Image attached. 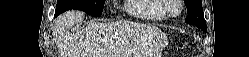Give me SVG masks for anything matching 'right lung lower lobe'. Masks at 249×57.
<instances>
[{
    "label": "right lung lower lobe",
    "mask_w": 249,
    "mask_h": 57,
    "mask_svg": "<svg viewBox=\"0 0 249 57\" xmlns=\"http://www.w3.org/2000/svg\"><path fill=\"white\" fill-rule=\"evenodd\" d=\"M61 12L56 11L55 12V17L58 16Z\"/></svg>",
    "instance_id": "obj_1"
}]
</instances>
